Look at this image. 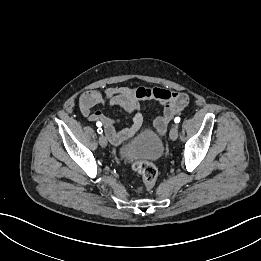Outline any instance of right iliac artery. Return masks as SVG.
I'll use <instances>...</instances> for the list:
<instances>
[{
  "instance_id": "right-iliac-artery-1",
  "label": "right iliac artery",
  "mask_w": 261,
  "mask_h": 261,
  "mask_svg": "<svg viewBox=\"0 0 261 261\" xmlns=\"http://www.w3.org/2000/svg\"><path fill=\"white\" fill-rule=\"evenodd\" d=\"M96 125H97V127H98L97 132H98L99 134H102V133H103V130H102V128H101V126H102L101 122H97Z\"/></svg>"
}]
</instances>
